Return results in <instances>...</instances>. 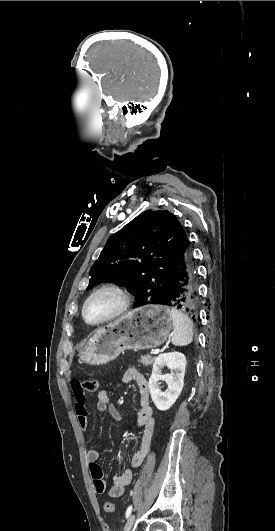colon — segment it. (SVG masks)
Returning <instances> with one entry per match:
<instances>
[{"label": "colon", "mask_w": 275, "mask_h": 531, "mask_svg": "<svg viewBox=\"0 0 275 531\" xmlns=\"http://www.w3.org/2000/svg\"><path fill=\"white\" fill-rule=\"evenodd\" d=\"M99 380L97 378L85 380V392L95 393L98 390ZM107 512H113L115 510V505L112 502H107L105 504Z\"/></svg>", "instance_id": "colon-1"}]
</instances>
